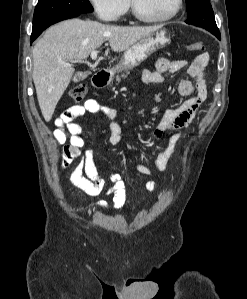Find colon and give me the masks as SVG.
I'll use <instances>...</instances> for the list:
<instances>
[{"instance_id": "obj_1", "label": "colon", "mask_w": 247, "mask_h": 299, "mask_svg": "<svg viewBox=\"0 0 247 299\" xmlns=\"http://www.w3.org/2000/svg\"><path fill=\"white\" fill-rule=\"evenodd\" d=\"M187 49L192 52H199L203 50V44L202 42H194L187 45ZM86 90L87 89L84 84H78L72 87L69 90L68 94L70 98L73 99L74 101H81L86 94Z\"/></svg>"}]
</instances>
